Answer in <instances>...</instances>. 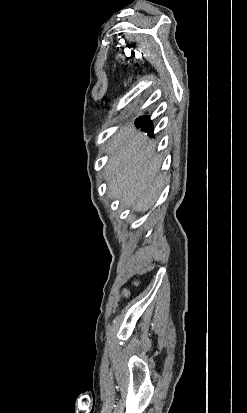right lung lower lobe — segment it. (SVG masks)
<instances>
[{
  "label": "right lung lower lobe",
  "instance_id": "1",
  "mask_svg": "<svg viewBox=\"0 0 247 413\" xmlns=\"http://www.w3.org/2000/svg\"><path fill=\"white\" fill-rule=\"evenodd\" d=\"M135 125L137 128H142L144 131L148 132V134L152 137L153 125L149 120V116H141L137 118Z\"/></svg>",
  "mask_w": 247,
  "mask_h": 413
}]
</instances>
